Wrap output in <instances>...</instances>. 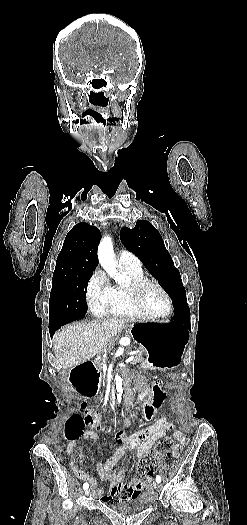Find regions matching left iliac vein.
<instances>
[{
	"mask_svg": "<svg viewBox=\"0 0 247 525\" xmlns=\"http://www.w3.org/2000/svg\"><path fill=\"white\" fill-rule=\"evenodd\" d=\"M153 486H154V488H158L159 487L158 483H156V482L153 483Z\"/></svg>",
	"mask_w": 247,
	"mask_h": 525,
	"instance_id": "4c4485c4",
	"label": "left iliac vein"
}]
</instances>
